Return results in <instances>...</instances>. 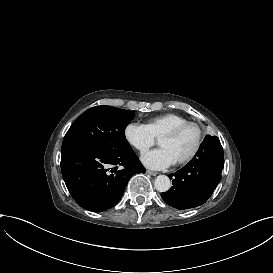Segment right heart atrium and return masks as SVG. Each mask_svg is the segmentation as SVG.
<instances>
[{
    "mask_svg": "<svg viewBox=\"0 0 273 273\" xmlns=\"http://www.w3.org/2000/svg\"><path fill=\"white\" fill-rule=\"evenodd\" d=\"M124 135L126 140L141 153L155 144V138L144 124L129 123Z\"/></svg>",
    "mask_w": 273,
    "mask_h": 273,
    "instance_id": "right-heart-atrium-1",
    "label": "right heart atrium"
}]
</instances>
